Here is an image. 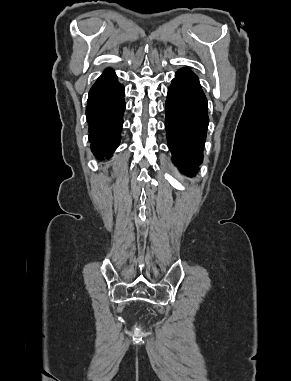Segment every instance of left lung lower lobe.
Masks as SVG:
<instances>
[{
  "label": "left lung lower lobe",
  "mask_w": 291,
  "mask_h": 381,
  "mask_svg": "<svg viewBox=\"0 0 291 381\" xmlns=\"http://www.w3.org/2000/svg\"><path fill=\"white\" fill-rule=\"evenodd\" d=\"M165 111L173 163L192 177L203 161L209 119L206 96L190 69L182 68L176 73L168 90Z\"/></svg>",
  "instance_id": "obj_1"
}]
</instances>
